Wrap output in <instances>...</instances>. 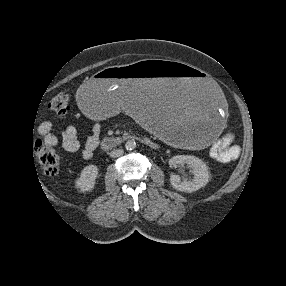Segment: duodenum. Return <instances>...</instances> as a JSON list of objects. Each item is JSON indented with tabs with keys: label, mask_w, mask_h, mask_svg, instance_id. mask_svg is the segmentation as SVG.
Here are the masks:
<instances>
[{
	"label": "duodenum",
	"mask_w": 286,
	"mask_h": 286,
	"mask_svg": "<svg viewBox=\"0 0 286 286\" xmlns=\"http://www.w3.org/2000/svg\"><path fill=\"white\" fill-rule=\"evenodd\" d=\"M130 139L138 140L139 138L137 136H130V135L107 137L101 141V146L104 149H111L122 145L123 143H125Z\"/></svg>",
	"instance_id": "obj_1"
}]
</instances>
